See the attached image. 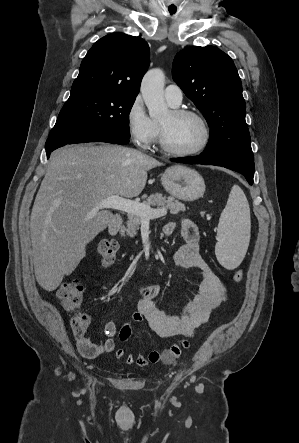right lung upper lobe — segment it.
<instances>
[{
	"label": "right lung upper lobe",
	"instance_id": "cb5924a9",
	"mask_svg": "<svg viewBox=\"0 0 299 443\" xmlns=\"http://www.w3.org/2000/svg\"><path fill=\"white\" fill-rule=\"evenodd\" d=\"M148 65L149 46L145 40L111 33L88 51L72 90L100 89L136 97Z\"/></svg>",
	"mask_w": 299,
	"mask_h": 443
}]
</instances>
